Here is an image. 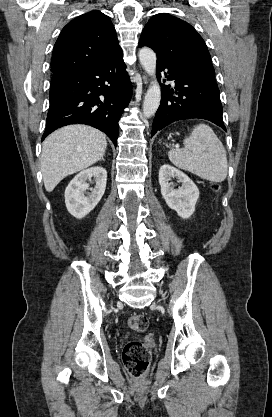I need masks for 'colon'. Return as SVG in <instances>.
Instances as JSON below:
<instances>
[{"label": "colon", "mask_w": 272, "mask_h": 417, "mask_svg": "<svg viewBox=\"0 0 272 417\" xmlns=\"http://www.w3.org/2000/svg\"><path fill=\"white\" fill-rule=\"evenodd\" d=\"M215 192L221 190L219 184L212 186ZM128 327L137 332L146 330L148 320L140 314L131 315L127 320ZM150 361V352L141 341H130L126 343L123 349V363L127 371L136 379L141 378L146 372Z\"/></svg>", "instance_id": "5ec220e1"}]
</instances>
